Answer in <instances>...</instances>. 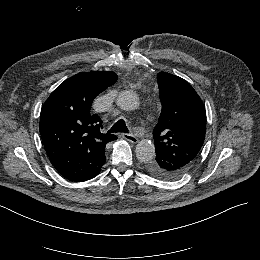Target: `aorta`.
I'll use <instances>...</instances> for the list:
<instances>
[{
  "mask_svg": "<svg viewBox=\"0 0 260 260\" xmlns=\"http://www.w3.org/2000/svg\"><path fill=\"white\" fill-rule=\"evenodd\" d=\"M117 106L125 111H132L139 107L140 102L136 93L133 91H122L116 99ZM136 157L141 162H149L155 156V146L150 140L144 139L136 145Z\"/></svg>",
  "mask_w": 260,
  "mask_h": 260,
  "instance_id": "1",
  "label": "aorta"
}]
</instances>
